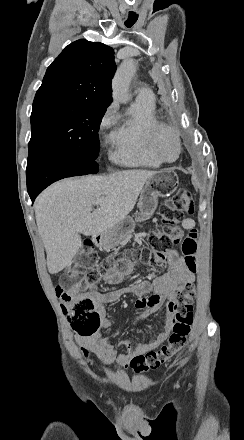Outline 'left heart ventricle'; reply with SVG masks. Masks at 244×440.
Masks as SVG:
<instances>
[{
	"label": "left heart ventricle",
	"mask_w": 244,
	"mask_h": 440,
	"mask_svg": "<svg viewBox=\"0 0 244 440\" xmlns=\"http://www.w3.org/2000/svg\"><path fill=\"white\" fill-rule=\"evenodd\" d=\"M162 146L159 147V149L163 152V154L168 157L172 158L175 153V140L171 135H165L162 137Z\"/></svg>",
	"instance_id": "left-heart-ventricle-1"
}]
</instances>
